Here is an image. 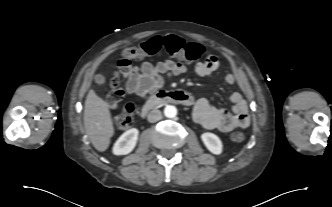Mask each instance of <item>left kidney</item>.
<instances>
[{"label": "left kidney", "mask_w": 332, "mask_h": 207, "mask_svg": "<svg viewBox=\"0 0 332 207\" xmlns=\"http://www.w3.org/2000/svg\"><path fill=\"white\" fill-rule=\"evenodd\" d=\"M201 139L206 146V148L215 155H220L222 153V142L220 138L210 132L203 133Z\"/></svg>", "instance_id": "5707ae66"}]
</instances>
